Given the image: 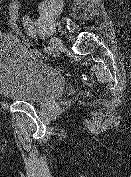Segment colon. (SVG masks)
I'll use <instances>...</instances> for the list:
<instances>
[{"instance_id":"1","label":"colon","mask_w":131,"mask_h":177,"mask_svg":"<svg viewBox=\"0 0 131 177\" xmlns=\"http://www.w3.org/2000/svg\"><path fill=\"white\" fill-rule=\"evenodd\" d=\"M7 22L10 31L18 37L24 45L29 49L31 53L38 57H44L38 48L32 43V41L25 34L22 25V9L18 0H8L6 4Z\"/></svg>"}]
</instances>
